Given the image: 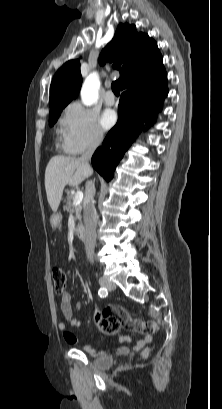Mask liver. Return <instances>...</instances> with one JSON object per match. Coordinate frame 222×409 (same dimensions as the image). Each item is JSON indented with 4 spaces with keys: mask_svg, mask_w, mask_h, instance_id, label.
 Returning <instances> with one entry per match:
<instances>
[{
    "mask_svg": "<svg viewBox=\"0 0 222 409\" xmlns=\"http://www.w3.org/2000/svg\"><path fill=\"white\" fill-rule=\"evenodd\" d=\"M88 176V168L80 158L56 155L50 159L45 170V189L53 212L58 210L66 185L78 187Z\"/></svg>",
    "mask_w": 222,
    "mask_h": 409,
    "instance_id": "6515ba94",
    "label": "liver"
}]
</instances>
